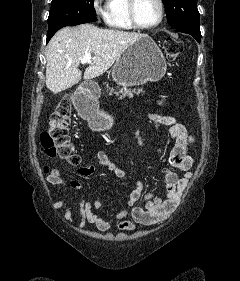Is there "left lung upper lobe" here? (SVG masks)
<instances>
[{"label":"left lung upper lobe","mask_w":240,"mask_h":281,"mask_svg":"<svg viewBox=\"0 0 240 281\" xmlns=\"http://www.w3.org/2000/svg\"><path fill=\"white\" fill-rule=\"evenodd\" d=\"M167 21L173 29L200 28L196 0H162Z\"/></svg>","instance_id":"5c2ea615"}]
</instances>
